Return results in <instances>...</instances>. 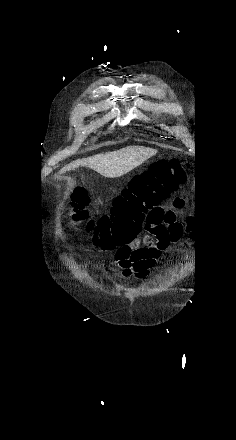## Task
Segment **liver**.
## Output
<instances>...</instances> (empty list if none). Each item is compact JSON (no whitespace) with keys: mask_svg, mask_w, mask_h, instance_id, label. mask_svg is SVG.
Returning <instances> with one entry per match:
<instances>
[{"mask_svg":"<svg viewBox=\"0 0 236 440\" xmlns=\"http://www.w3.org/2000/svg\"><path fill=\"white\" fill-rule=\"evenodd\" d=\"M156 153L157 150L155 149L129 146L117 151L73 161L62 168L59 174L83 166L93 169L104 177L116 178L130 172Z\"/></svg>","mask_w":236,"mask_h":440,"instance_id":"1","label":"liver"}]
</instances>
